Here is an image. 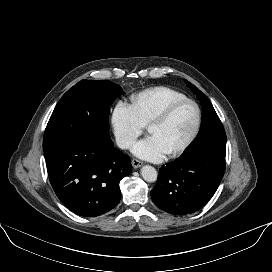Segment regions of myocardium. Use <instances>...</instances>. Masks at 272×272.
<instances>
[{
  "mask_svg": "<svg viewBox=\"0 0 272 272\" xmlns=\"http://www.w3.org/2000/svg\"><path fill=\"white\" fill-rule=\"evenodd\" d=\"M184 105H191L194 107L196 113L195 125L188 139L181 146L167 153L169 157H175L184 153L197 138L202 125V112L200 106L194 100L188 98L175 101L163 109L159 114H157L148 124L149 129L152 125L164 123L173 115L177 109Z\"/></svg>",
  "mask_w": 272,
  "mask_h": 272,
  "instance_id": "1",
  "label": "myocardium"
}]
</instances>
